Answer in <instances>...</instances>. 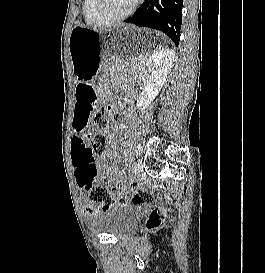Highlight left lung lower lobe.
I'll return each instance as SVG.
<instances>
[{"instance_id":"1","label":"left lung lower lobe","mask_w":265,"mask_h":273,"mask_svg":"<svg viewBox=\"0 0 265 273\" xmlns=\"http://www.w3.org/2000/svg\"><path fill=\"white\" fill-rule=\"evenodd\" d=\"M182 7L183 0H146L126 22L160 30L178 46L182 24Z\"/></svg>"}]
</instances>
